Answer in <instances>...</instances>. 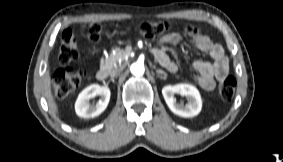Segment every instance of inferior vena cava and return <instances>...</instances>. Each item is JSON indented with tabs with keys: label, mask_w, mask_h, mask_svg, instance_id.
I'll return each mask as SVG.
<instances>
[{
	"label": "inferior vena cava",
	"mask_w": 283,
	"mask_h": 162,
	"mask_svg": "<svg viewBox=\"0 0 283 162\" xmlns=\"http://www.w3.org/2000/svg\"><path fill=\"white\" fill-rule=\"evenodd\" d=\"M118 73H119V70L115 69L111 71L110 75L111 77H115L116 75H118Z\"/></svg>",
	"instance_id": "602c4592"
}]
</instances>
